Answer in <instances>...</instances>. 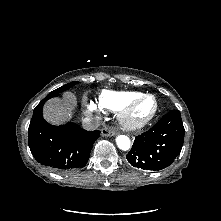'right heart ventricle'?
<instances>
[{"mask_svg": "<svg viewBox=\"0 0 221 221\" xmlns=\"http://www.w3.org/2000/svg\"><path fill=\"white\" fill-rule=\"evenodd\" d=\"M143 93L138 91H109L104 90L100 94L97 105L100 109L119 111L124 104Z\"/></svg>", "mask_w": 221, "mask_h": 221, "instance_id": "1", "label": "right heart ventricle"}]
</instances>
